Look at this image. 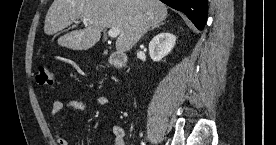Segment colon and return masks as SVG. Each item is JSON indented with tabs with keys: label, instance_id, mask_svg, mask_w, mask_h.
<instances>
[{
	"label": "colon",
	"instance_id": "5ec220e1",
	"mask_svg": "<svg viewBox=\"0 0 276 145\" xmlns=\"http://www.w3.org/2000/svg\"><path fill=\"white\" fill-rule=\"evenodd\" d=\"M36 80L41 86H52L55 83L53 69L48 66H41L37 71Z\"/></svg>",
	"mask_w": 276,
	"mask_h": 145
}]
</instances>
